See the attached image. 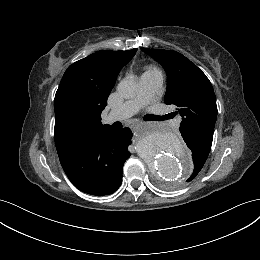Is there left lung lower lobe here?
Returning <instances> with one entry per match:
<instances>
[{"label":"left lung lower lobe","mask_w":260,"mask_h":260,"mask_svg":"<svg viewBox=\"0 0 260 260\" xmlns=\"http://www.w3.org/2000/svg\"><path fill=\"white\" fill-rule=\"evenodd\" d=\"M184 141L186 142L187 146L191 149L193 153V159L196 161L198 158L203 157L206 158L208 157L209 151L207 148H205L203 145H201L199 142L195 141L188 135H182ZM199 172L196 170H193L192 175L190 176L189 179H187V182H190L193 180Z\"/></svg>","instance_id":"0a47b994"}]
</instances>
